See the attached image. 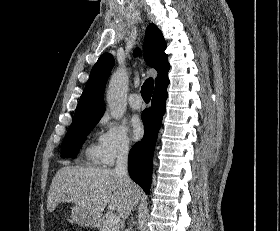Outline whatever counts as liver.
I'll return each mask as SVG.
<instances>
[{"label":"liver","mask_w":280,"mask_h":231,"mask_svg":"<svg viewBox=\"0 0 280 231\" xmlns=\"http://www.w3.org/2000/svg\"><path fill=\"white\" fill-rule=\"evenodd\" d=\"M142 193L136 183H126V179L117 175L115 169L65 165L52 179L47 209L54 211L61 201H71L87 209L97 221L105 207L117 211L124 221Z\"/></svg>","instance_id":"liver-1"}]
</instances>
